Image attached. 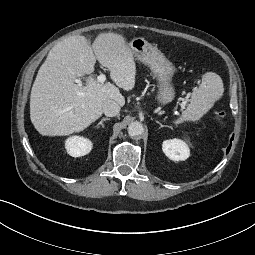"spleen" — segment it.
Returning <instances> with one entry per match:
<instances>
[{
    "label": "spleen",
    "instance_id": "3e777b00",
    "mask_svg": "<svg viewBox=\"0 0 255 255\" xmlns=\"http://www.w3.org/2000/svg\"><path fill=\"white\" fill-rule=\"evenodd\" d=\"M224 88L219 75L213 72L206 73L202 83L191 94L190 103L182 112L176 124L184 121H197L213 106L214 102L221 98Z\"/></svg>",
    "mask_w": 255,
    "mask_h": 255
}]
</instances>
